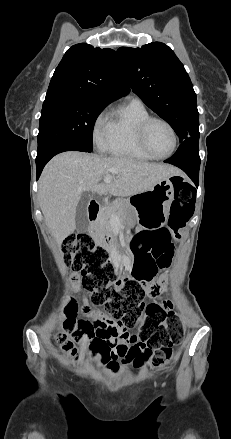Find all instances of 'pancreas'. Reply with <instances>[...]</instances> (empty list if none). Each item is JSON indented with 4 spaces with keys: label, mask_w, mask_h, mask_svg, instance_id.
Instances as JSON below:
<instances>
[{
    "label": "pancreas",
    "mask_w": 231,
    "mask_h": 439,
    "mask_svg": "<svg viewBox=\"0 0 231 439\" xmlns=\"http://www.w3.org/2000/svg\"><path fill=\"white\" fill-rule=\"evenodd\" d=\"M132 212L133 209L127 200L116 199L112 204L103 209L101 227L104 231L108 230L114 218L119 224H122L128 220Z\"/></svg>",
    "instance_id": "cf45deb5"
}]
</instances>
